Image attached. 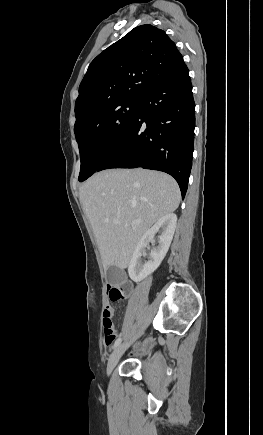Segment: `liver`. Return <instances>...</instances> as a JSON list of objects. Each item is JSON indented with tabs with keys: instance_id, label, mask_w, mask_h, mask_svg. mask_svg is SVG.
<instances>
[{
	"instance_id": "liver-1",
	"label": "liver",
	"mask_w": 263,
	"mask_h": 435,
	"mask_svg": "<svg viewBox=\"0 0 263 435\" xmlns=\"http://www.w3.org/2000/svg\"><path fill=\"white\" fill-rule=\"evenodd\" d=\"M79 196L105 270L112 265L127 268L143 234L174 212L181 199L174 178L140 168L95 173L82 185Z\"/></svg>"
}]
</instances>
